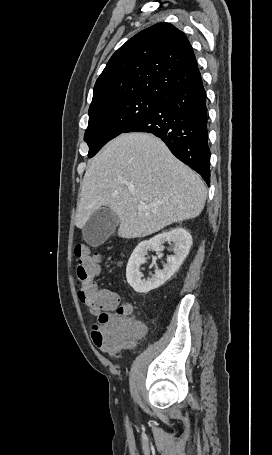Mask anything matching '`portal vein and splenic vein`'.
Segmentation results:
<instances>
[{
  "label": "portal vein and splenic vein",
  "instance_id": "portal-vein-and-splenic-vein-1",
  "mask_svg": "<svg viewBox=\"0 0 272 455\" xmlns=\"http://www.w3.org/2000/svg\"><path fill=\"white\" fill-rule=\"evenodd\" d=\"M145 208H146V206L144 204H139L138 205V209H140V210L145 209Z\"/></svg>",
  "mask_w": 272,
  "mask_h": 455
}]
</instances>
